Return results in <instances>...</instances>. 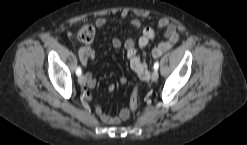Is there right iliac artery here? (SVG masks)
<instances>
[{
    "label": "right iliac artery",
    "instance_id": "obj_1",
    "mask_svg": "<svg viewBox=\"0 0 247 145\" xmlns=\"http://www.w3.org/2000/svg\"><path fill=\"white\" fill-rule=\"evenodd\" d=\"M81 73H82V70H81L80 67H78V68L76 69V75H77V76H80Z\"/></svg>",
    "mask_w": 247,
    "mask_h": 145
}]
</instances>
